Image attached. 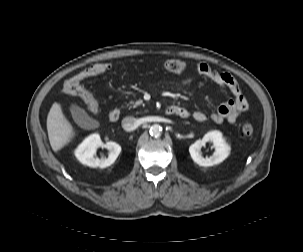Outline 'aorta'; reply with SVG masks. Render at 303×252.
Returning a JSON list of instances; mask_svg holds the SVG:
<instances>
[{"label": "aorta", "mask_w": 303, "mask_h": 252, "mask_svg": "<svg viewBox=\"0 0 303 252\" xmlns=\"http://www.w3.org/2000/svg\"><path fill=\"white\" fill-rule=\"evenodd\" d=\"M162 133V127L159 124H153L150 127V135L154 137L160 136Z\"/></svg>", "instance_id": "1"}]
</instances>
